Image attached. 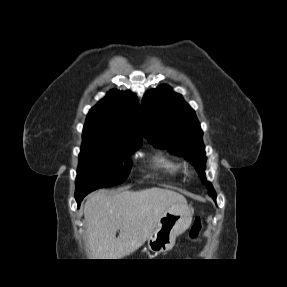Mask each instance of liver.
<instances>
[{
	"instance_id": "1",
	"label": "liver",
	"mask_w": 287,
	"mask_h": 287,
	"mask_svg": "<svg viewBox=\"0 0 287 287\" xmlns=\"http://www.w3.org/2000/svg\"><path fill=\"white\" fill-rule=\"evenodd\" d=\"M183 202V195L157 187L120 193L100 190L89 195L84 218L90 256L121 259L132 254L149 238L162 214Z\"/></svg>"
}]
</instances>
